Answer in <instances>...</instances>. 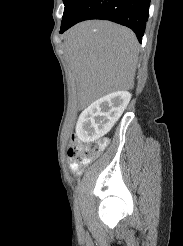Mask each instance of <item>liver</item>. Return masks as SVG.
Listing matches in <instances>:
<instances>
[{"label": "liver", "mask_w": 183, "mask_h": 246, "mask_svg": "<svg viewBox=\"0 0 183 246\" xmlns=\"http://www.w3.org/2000/svg\"><path fill=\"white\" fill-rule=\"evenodd\" d=\"M139 43L130 29L85 21L64 35V52L83 104L134 87Z\"/></svg>", "instance_id": "6515ba94"}]
</instances>
